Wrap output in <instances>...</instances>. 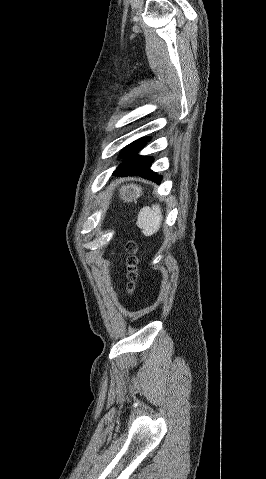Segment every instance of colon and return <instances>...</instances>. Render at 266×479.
Returning a JSON list of instances; mask_svg holds the SVG:
<instances>
[{"instance_id": "obj_1", "label": "colon", "mask_w": 266, "mask_h": 479, "mask_svg": "<svg viewBox=\"0 0 266 479\" xmlns=\"http://www.w3.org/2000/svg\"><path fill=\"white\" fill-rule=\"evenodd\" d=\"M137 244L133 241L128 243V250L130 256L128 257L126 264V276L128 280V289L130 292H133L136 288L137 281L139 278V259L136 256Z\"/></svg>"}]
</instances>
